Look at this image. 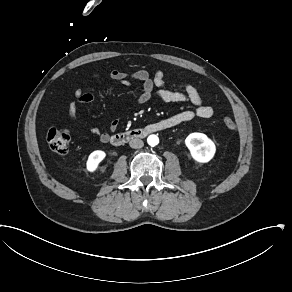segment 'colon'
Returning a JSON list of instances; mask_svg holds the SVG:
<instances>
[{
	"label": "colon",
	"instance_id": "1",
	"mask_svg": "<svg viewBox=\"0 0 292 292\" xmlns=\"http://www.w3.org/2000/svg\"><path fill=\"white\" fill-rule=\"evenodd\" d=\"M223 124L229 130L236 128L235 123L230 119L225 112L221 111ZM49 149L55 154H64L68 152L71 136L67 130L59 128H51L46 135Z\"/></svg>",
	"mask_w": 292,
	"mask_h": 292
}]
</instances>
